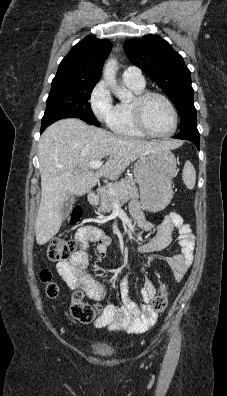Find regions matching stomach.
<instances>
[{
  "label": "stomach",
  "instance_id": "obj_1",
  "mask_svg": "<svg viewBox=\"0 0 227 396\" xmlns=\"http://www.w3.org/2000/svg\"><path fill=\"white\" fill-rule=\"evenodd\" d=\"M176 166V158L168 150H152L138 158L134 176L144 209L158 212L170 203L173 197L171 181L176 174Z\"/></svg>",
  "mask_w": 227,
  "mask_h": 396
}]
</instances>
